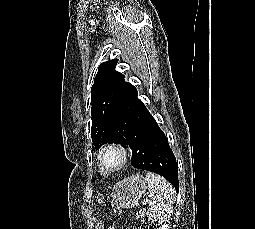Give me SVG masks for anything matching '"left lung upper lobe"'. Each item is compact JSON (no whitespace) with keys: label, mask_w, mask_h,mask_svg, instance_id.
I'll list each match as a JSON object with an SVG mask.
<instances>
[{"label":"left lung upper lobe","mask_w":255,"mask_h":229,"mask_svg":"<svg viewBox=\"0 0 255 229\" xmlns=\"http://www.w3.org/2000/svg\"><path fill=\"white\" fill-rule=\"evenodd\" d=\"M118 59L102 63L91 88L92 141L96 148L106 143L130 145L128 136L119 128L114 117L132 85L115 71Z\"/></svg>","instance_id":"obj_1"}]
</instances>
